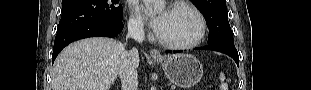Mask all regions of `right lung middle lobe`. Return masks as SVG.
Returning <instances> with one entry per match:
<instances>
[{
  "label": "right lung middle lobe",
  "mask_w": 311,
  "mask_h": 90,
  "mask_svg": "<svg viewBox=\"0 0 311 90\" xmlns=\"http://www.w3.org/2000/svg\"><path fill=\"white\" fill-rule=\"evenodd\" d=\"M119 0H62V17L58 30L84 23L122 22L123 9Z\"/></svg>",
  "instance_id": "1"
}]
</instances>
